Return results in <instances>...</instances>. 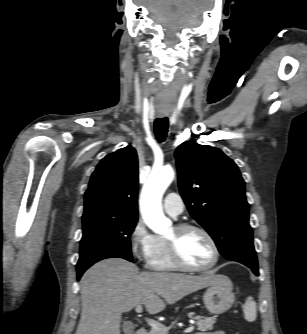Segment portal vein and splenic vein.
I'll list each match as a JSON object with an SVG mask.
<instances>
[{"label": "portal vein and splenic vein", "instance_id": "portal-vein-and-splenic-vein-1", "mask_svg": "<svg viewBox=\"0 0 307 334\" xmlns=\"http://www.w3.org/2000/svg\"><path fill=\"white\" fill-rule=\"evenodd\" d=\"M136 312L137 313H142L143 311V307L141 305H138L136 307ZM146 321L148 323V325H150L152 327V330H155V331H159V332H163L164 334H167L169 328L166 327L165 325L153 320V319H149V318H146ZM194 330V326H190L188 328H186L184 330V333H190Z\"/></svg>", "mask_w": 307, "mask_h": 334}]
</instances>
